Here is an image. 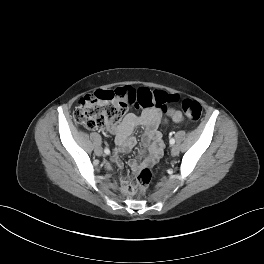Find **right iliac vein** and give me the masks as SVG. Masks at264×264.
Returning <instances> with one entry per match:
<instances>
[{"mask_svg":"<svg viewBox=\"0 0 264 264\" xmlns=\"http://www.w3.org/2000/svg\"><path fill=\"white\" fill-rule=\"evenodd\" d=\"M95 153H96V155H98V156H100V155H102V148H100V147H97L96 149H95Z\"/></svg>","mask_w":264,"mask_h":264,"instance_id":"1","label":"right iliac vein"}]
</instances>
